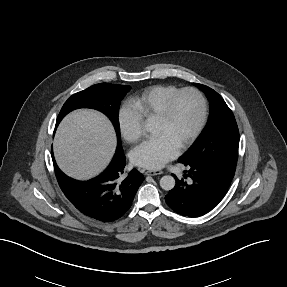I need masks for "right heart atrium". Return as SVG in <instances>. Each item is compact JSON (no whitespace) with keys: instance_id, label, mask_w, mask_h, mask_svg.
Returning <instances> with one entry per match:
<instances>
[{"instance_id":"1","label":"right heart atrium","mask_w":287,"mask_h":287,"mask_svg":"<svg viewBox=\"0 0 287 287\" xmlns=\"http://www.w3.org/2000/svg\"><path fill=\"white\" fill-rule=\"evenodd\" d=\"M118 125L121 136L128 143H135L143 136V122L129 107H122L118 112Z\"/></svg>"}]
</instances>
